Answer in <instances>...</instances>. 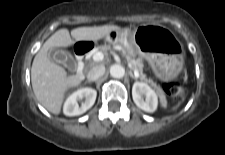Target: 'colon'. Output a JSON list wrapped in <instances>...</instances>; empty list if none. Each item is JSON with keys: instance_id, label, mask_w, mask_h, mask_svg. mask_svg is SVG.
I'll list each match as a JSON object with an SVG mask.
<instances>
[{"instance_id": "obj_1", "label": "colon", "mask_w": 225, "mask_h": 155, "mask_svg": "<svg viewBox=\"0 0 225 155\" xmlns=\"http://www.w3.org/2000/svg\"><path fill=\"white\" fill-rule=\"evenodd\" d=\"M163 89L170 94L176 102H180L185 94L186 80L183 76H178L163 83Z\"/></svg>"}]
</instances>
